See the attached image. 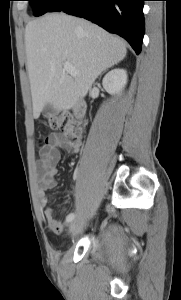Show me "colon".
<instances>
[{
  "mask_svg": "<svg viewBox=\"0 0 181 300\" xmlns=\"http://www.w3.org/2000/svg\"><path fill=\"white\" fill-rule=\"evenodd\" d=\"M45 124L53 129H60L73 142H78L82 138V124L72 120L68 115L49 116L45 119Z\"/></svg>",
  "mask_w": 181,
  "mask_h": 300,
  "instance_id": "colon-1",
  "label": "colon"
}]
</instances>
